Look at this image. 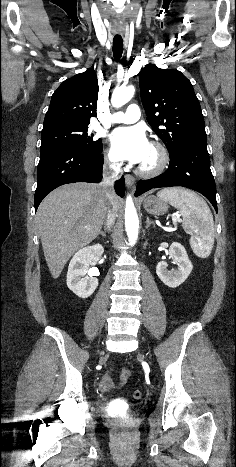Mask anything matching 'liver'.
Instances as JSON below:
<instances>
[{"instance_id":"liver-1","label":"liver","mask_w":236,"mask_h":467,"mask_svg":"<svg viewBox=\"0 0 236 467\" xmlns=\"http://www.w3.org/2000/svg\"><path fill=\"white\" fill-rule=\"evenodd\" d=\"M109 205L118 210L119 198L109 199L101 185L91 183L60 186L41 202L36 223L54 279L77 250L98 236Z\"/></svg>"}]
</instances>
